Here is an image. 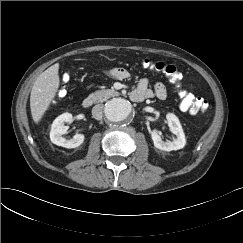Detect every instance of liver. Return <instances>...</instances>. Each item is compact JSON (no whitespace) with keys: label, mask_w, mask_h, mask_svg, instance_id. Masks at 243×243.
<instances>
[{"label":"liver","mask_w":243,"mask_h":243,"mask_svg":"<svg viewBox=\"0 0 243 243\" xmlns=\"http://www.w3.org/2000/svg\"><path fill=\"white\" fill-rule=\"evenodd\" d=\"M58 71L59 63L52 65L38 76L32 87L30 109L36 124L41 121L56 96L60 85Z\"/></svg>","instance_id":"obj_1"}]
</instances>
